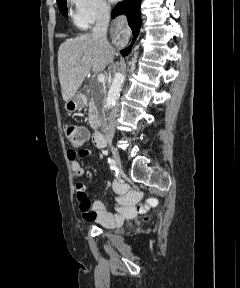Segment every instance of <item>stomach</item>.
Instances as JSON below:
<instances>
[{
  "instance_id": "0dacf381",
  "label": "stomach",
  "mask_w": 240,
  "mask_h": 288,
  "mask_svg": "<svg viewBox=\"0 0 240 288\" xmlns=\"http://www.w3.org/2000/svg\"><path fill=\"white\" fill-rule=\"evenodd\" d=\"M82 105L83 103L80 96L76 94L66 102L65 109L71 113L81 108Z\"/></svg>"
}]
</instances>
